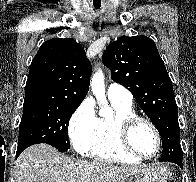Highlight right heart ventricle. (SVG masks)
I'll use <instances>...</instances> for the list:
<instances>
[{"instance_id":"obj_1","label":"right heart ventricle","mask_w":196,"mask_h":182,"mask_svg":"<svg viewBox=\"0 0 196 182\" xmlns=\"http://www.w3.org/2000/svg\"><path fill=\"white\" fill-rule=\"evenodd\" d=\"M110 101L115 113L112 117L98 119L96 138L87 154L90 158L102 162L128 165L138 164L141 160L130 156L121 149L116 131V122L119 118L135 115L132 104Z\"/></svg>"}]
</instances>
